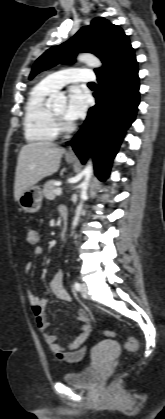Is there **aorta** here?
Instances as JSON below:
<instances>
[{
    "label": "aorta",
    "mask_w": 165,
    "mask_h": 419,
    "mask_svg": "<svg viewBox=\"0 0 165 419\" xmlns=\"http://www.w3.org/2000/svg\"><path fill=\"white\" fill-rule=\"evenodd\" d=\"M77 59H78L79 62L85 63L88 66L93 67V68H99L102 65L99 58H97L95 55L90 54V53L79 54ZM52 103H53V106H55V107L63 106L66 103V98L63 94H56V95L52 96ZM83 174H84V181L80 185V188H81V194H80L81 202L79 203V205L77 206V209H76V215H75V218H74L73 223H72L73 228L78 224L79 216H80L81 210H82L83 201L87 198V189H88L90 178L93 174V165H92L91 160H89L87 162L86 167L83 170Z\"/></svg>",
    "instance_id": "1"
}]
</instances>
